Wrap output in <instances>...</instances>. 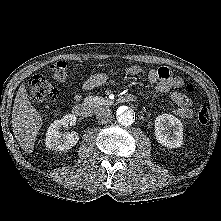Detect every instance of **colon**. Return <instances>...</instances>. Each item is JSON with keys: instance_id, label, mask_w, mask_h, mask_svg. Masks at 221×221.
Instances as JSON below:
<instances>
[{"instance_id": "1", "label": "colon", "mask_w": 221, "mask_h": 221, "mask_svg": "<svg viewBox=\"0 0 221 221\" xmlns=\"http://www.w3.org/2000/svg\"><path fill=\"white\" fill-rule=\"evenodd\" d=\"M67 62L58 61L51 66L53 76L57 80H65L67 77ZM30 99L34 103L46 104L57 97L56 88L49 82V80L43 75H35L29 82ZM187 93L194 92V86L191 83H187L184 86ZM197 121L200 125H207L210 122L211 115L209 109L202 105L197 111Z\"/></svg>"}]
</instances>
